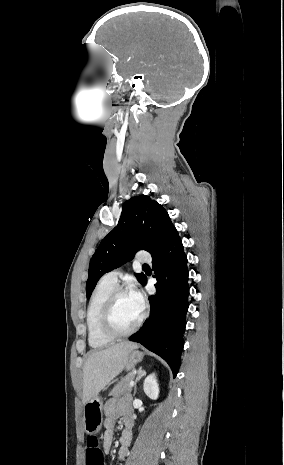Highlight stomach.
Listing matches in <instances>:
<instances>
[{"label": "stomach", "mask_w": 284, "mask_h": 465, "mask_svg": "<svg viewBox=\"0 0 284 465\" xmlns=\"http://www.w3.org/2000/svg\"><path fill=\"white\" fill-rule=\"evenodd\" d=\"M144 353L140 351H131L125 363L126 371L134 369L137 363H141ZM103 423V401L101 397H93L83 407V425L87 435H96L99 433Z\"/></svg>", "instance_id": "obj_1"}]
</instances>
